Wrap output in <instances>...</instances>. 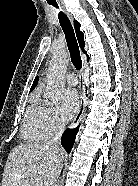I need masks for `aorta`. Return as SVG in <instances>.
I'll return each mask as SVG.
<instances>
[{"mask_svg": "<svg viewBox=\"0 0 138 186\" xmlns=\"http://www.w3.org/2000/svg\"><path fill=\"white\" fill-rule=\"evenodd\" d=\"M69 56L66 52L55 53L47 74V95L52 103L59 100L65 87L64 74L67 70Z\"/></svg>", "mask_w": 138, "mask_h": 186, "instance_id": "obj_1", "label": "aorta"}]
</instances>
